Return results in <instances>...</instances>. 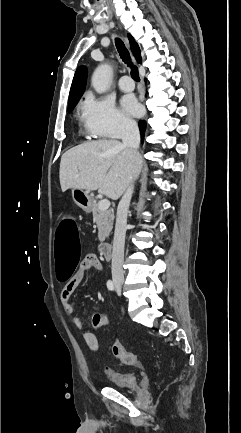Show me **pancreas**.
<instances>
[{
	"label": "pancreas",
	"instance_id": "1",
	"mask_svg": "<svg viewBox=\"0 0 241 433\" xmlns=\"http://www.w3.org/2000/svg\"><path fill=\"white\" fill-rule=\"evenodd\" d=\"M91 211L93 214V220L98 227V240L103 242L113 229V210H100L99 202H93Z\"/></svg>",
	"mask_w": 241,
	"mask_h": 433
}]
</instances>
